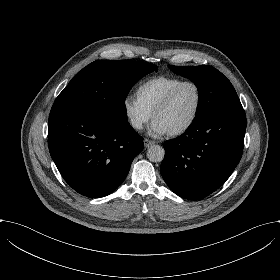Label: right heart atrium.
Wrapping results in <instances>:
<instances>
[{"instance_id":"d8ad5b80","label":"right heart atrium","mask_w":280,"mask_h":280,"mask_svg":"<svg viewBox=\"0 0 280 280\" xmlns=\"http://www.w3.org/2000/svg\"><path fill=\"white\" fill-rule=\"evenodd\" d=\"M123 112L129 126L137 132L142 131L153 117V113L133 96H128L123 100Z\"/></svg>"}]
</instances>
